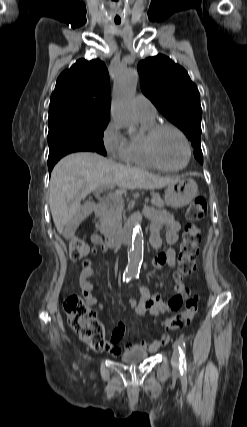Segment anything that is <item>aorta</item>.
Listing matches in <instances>:
<instances>
[{"label":"aorta","instance_id":"obj_1","mask_svg":"<svg viewBox=\"0 0 247 427\" xmlns=\"http://www.w3.org/2000/svg\"><path fill=\"white\" fill-rule=\"evenodd\" d=\"M138 83L137 71L131 67H122L116 74L113 87L112 118L131 133L136 132L137 120L133 109V99ZM144 236L140 225H135L132 235V247L128 252L127 274L139 271L143 258Z\"/></svg>","mask_w":247,"mask_h":427}]
</instances>
